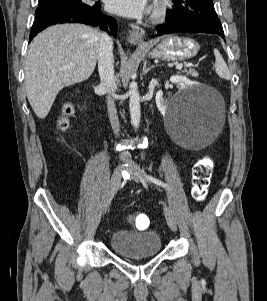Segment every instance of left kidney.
Segmentation results:
<instances>
[{"label":"left kidney","instance_id":"left-kidney-1","mask_svg":"<svg viewBox=\"0 0 267 301\" xmlns=\"http://www.w3.org/2000/svg\"><path fill=\"white\" fill-rule=\"evenodd\" d=\"M171 83L179 84L181 90H186L187 88H191L193 86H198V84L191 82L184 76L175 75L170 78ZM156 104L161 112H165L167 109V101L163 98L162 91L157 92L156 94Z\"/></svg>","mask_w":267,"mask_h":301}]
</instances>
